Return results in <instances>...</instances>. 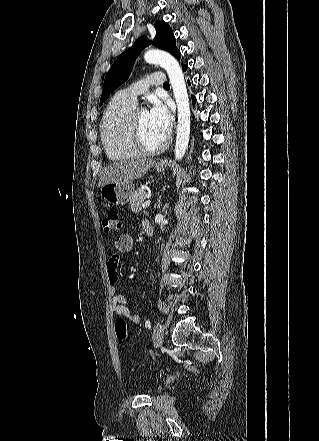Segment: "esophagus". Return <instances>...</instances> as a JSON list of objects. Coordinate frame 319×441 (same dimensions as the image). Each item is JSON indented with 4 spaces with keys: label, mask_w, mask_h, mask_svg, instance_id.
Returning a JSON list of instances; mask_svg holds the SVG:
<instances>
[{
    "label": "esophagus",
    "mask_w": 319,
    "mask_h": 441,
    "mask_svg": "<svg viewBox=\"0 0 319 441\" xmlns=\"http://www.w3.org/2000/svg\"><path fill=\"white\" fill-rule=\"evenodd\" d=\"M159 164H161V165H162L163 163H162V162H159Z\"/></svg>",
    "instance_id": "1"
}]
</instances>
